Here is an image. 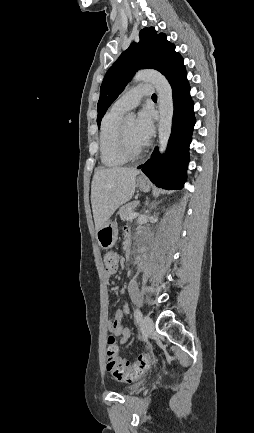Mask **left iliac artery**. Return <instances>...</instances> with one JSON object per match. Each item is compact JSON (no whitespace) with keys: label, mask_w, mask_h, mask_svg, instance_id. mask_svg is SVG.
Listing matches in <instances>:
<instances>
[{"label":"left iliac artery","mask_w":254,"mask_h":433,"mask_svg":"<svg viewBox=\"0 0 254 433\" xmlns=\"http://www.w3.org/2000/svg\"><path fill=\"white\" fill-rule=\"evenodd\" d=\"M135 320H136V324H137V325H140V324H141V321H142V313H141V311H140L139 308H136V310H135Z\"/></svg>","instance_id":"left-iliac-artery-1"}]
</instances>
